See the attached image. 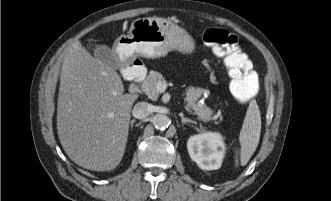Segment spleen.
<instances>
[{
  "mask_svg": "<svg viewBox=\"0 0 331 201\" xmlns=\"http://www.w3.org/2000/svg\"><path fill=\"white\" fill-rule=\"evenodd\" d=\"M261 133V115L255 101H251L246 112L239 136L241 145L240 164L245 166L254 154L260 139ZM238 162L236 161V166Z\"/></svg>",
  "mask_w": 331,
  "mask_h": 201,
  "instance_id": "3e777b00",
  "label": "spleen"
}]
</instances>
